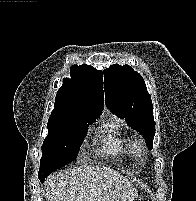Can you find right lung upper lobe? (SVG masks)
<instances>
[{
    "instance_id": "obj_1",
    "label": "right lung upper lobe",
    "mask_w": 196,
    "mask_h": 201,
    "mask_svg": "<svg viewBox=\"0 0 196 201\" xmlns=\"http://www.w3.org/2000/svg\"><path fill=\"white\" fill-rule=\"evenodd\" d=\"M71 78L63 79L51 117L70 112L100 116L104 108L103 72L90 65H73Z\"/></svg>"
}]
</instances>
